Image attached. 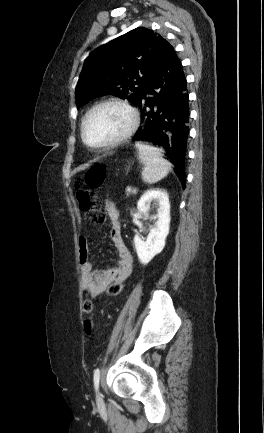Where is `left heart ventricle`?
<instances>
[{
	"mask_svg": "<svg viewBox=\"0 0 264 433\" xmlns=\"http://www.w3.org/2000/svg\"><path fill=\"white\" fill-rule=\"evenodd\" d=\"M130 122L129 114L115 105L96 110L87 120L85 135L92 144H99L122 134Z\"/></svg>",
	"mask_w": 264,
	"mask_h": 433,
	"instance_id": "1",
	"label": "left heart ventricle"
}]
</instances>
